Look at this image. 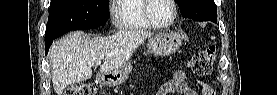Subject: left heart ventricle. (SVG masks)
<instances>
[{"mask_svg": "<svg viewBox=\"0 0 277 95\" xmlns=\"http://www.w3.org/2000/svg\"><path fill=\"white\" fill-rule=\"evenodd\" d=\"M150 14L157 22L166 23L173 15V6L168 0H154L150 8Z\"/></svg>", "mask_w": 277, "mask_h": 95, "instance_id": "obj_1", "label": "left heart ventricle"}]
</instances>
